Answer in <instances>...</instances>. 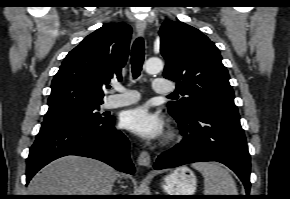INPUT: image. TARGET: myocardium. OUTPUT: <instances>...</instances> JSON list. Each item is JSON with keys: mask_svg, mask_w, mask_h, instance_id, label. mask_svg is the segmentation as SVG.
<instances>
[{"mask_svg": "<svg viewBox=\"0 0 290 199\" xmlns=\"http://www.w3.org/2000/svg\"><path fill=\"white\" fill-rule=\"evenodd\" d=\"M175 136H176V135H175L174 132H170L169 135H168V138H167L168 141H172V140L175 138Z\"/></svg>", "mask_w": 290, "mask_h": 199, "instance_id": "f54148a6", "label": "myocardium"}]
</instances>
